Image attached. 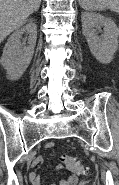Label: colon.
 Wrapping results in <instances>:
<instances>
[{
  "instance_id": "1",
  "label": "colon",
  "mask_w": 119,
  "mask_h": 185,
  "mask_svg": "<svg viewBox=\"0 0 119 185\" xmlns=\"http://www.w3.org/2000/svg\"><path fill=\"white\" fill-rule=\"evenodd\" d=\"M61 162L73 173L87 174V168L84 167L76 158L69 155H62Z\"/></svg>"
}]
</instances>
